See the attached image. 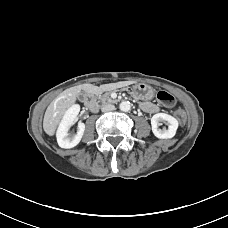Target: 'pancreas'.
<instances>
[{
  "mask_svg": "<svg viewBox=\"0 0 228 228\" xmlns=\"http://www.w3.org/2000/svg\"><path fill=\"white\" fill-rule=\"evenodd\" d=\"M118 90V89H116ZM120 90H123V91H126L127 89H120ZM127 92H130V91H127ZM133 96V95H131ZM134 97V96H133ZM135 98V97H134ZM99 101L102 103V104H107V103H114L116 102L115 100L111 99L110 98V94L107 92L105 94H103L102 96H99ZM137 100V98H135ZM139 102V101H138ZM140 103V102H139Z\"/></svg>",
  "mask_w": 228,
  "mask_h": 228,
  "instance_id": "1",
  "label": "pancreas"
}]
</instances>
